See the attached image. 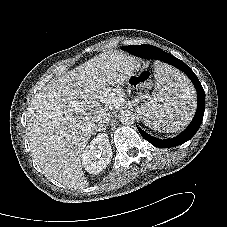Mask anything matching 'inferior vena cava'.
I'll return each instance as SVG.
<instances>
[{
  "mask_svg": "<svg viewBox=\"0 0 227 227\" xmlns=\"http://www.w3.org/2000/svg\"><path fill=\"white\" fill-rule=\"evenodd\" d=\"M109 120H110V116L106 118H99L96 124H94V127L99 130L101 127L103 126L105 127L108 124Z\"/></svg>",
  "mask_w": 227,
  "mask_h": 227,
  "instance_id": "inferior-vena-cava-1",
  "label": "inferior vena cava"
}]
</instances>
